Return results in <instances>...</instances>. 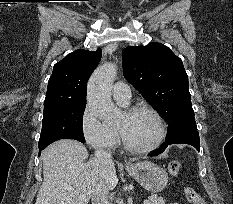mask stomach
Instances as JSON below:
<instances>
[{"label": "stomach", "instance_id": "stomach-1", "mask_svg": "<svg viewBox=\"0 0 233 204\" xmlns=\"http://www.w3.org/2000/svg\"><path fill=\"white\" fill-rule=\"evenodd\" d=\"M126 170L140 185L152 193L162 191L168 182L166 171L150 161L127 165Z\"/></svg>", "mask_w": 233, "mask_h": 204}]
</instances>
